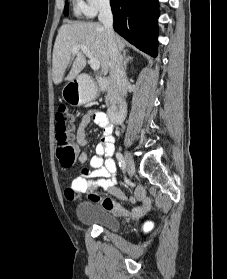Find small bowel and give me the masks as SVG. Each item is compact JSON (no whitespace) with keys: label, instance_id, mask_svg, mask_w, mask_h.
Masks as SVG:
<instances>
[{"label":"small bowel","instance_id":"c3829d8e","mask_svg":"<svg viewBox=\"0 0 227 279\" xmlns=\"http://www.w3.org/2000/svg\"><path fill=\"white\" fill-rule=\"evenodd\" d=\"M91 121L102 128L101 139L96 145L95 154L91 158L86 151L79 153L78 161L82 164L88 163V166L84 167L79 176L75 177L69 183L66 190L67 198L74 200L77 193L90 191L93 200L97 201L104 209L112 213L131 216L143 215L151 208V200L147 196L144 187H138L132 198L140 203L139 206H123L116 201V199L126 200V197L117 187L116 163L113 159L115 138L113 136L112 126L103 111L90 109L82 116L76 132L77 144L80 147L87 144L85 129ZM96 187L107 190L113 198L99 199L96 196Z\"/></svg>","mask_w":227,"mask_h":279}]
</instances>
